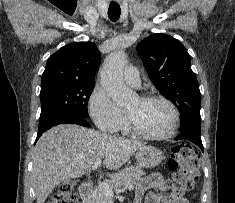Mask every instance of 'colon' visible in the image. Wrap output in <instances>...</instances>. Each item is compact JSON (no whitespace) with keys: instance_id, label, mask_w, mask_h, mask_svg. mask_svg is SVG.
Returning <instances> with one entry per match:
<instances>
[{"instance_id":"5ec220e1","label":"colon","mask_w":235,"mask_h":203,"mask_svg":"<svg viewBox=\"0 0 235 203\" xmlns=\"http://www.w3.org/2000/svg\"><path fill=\"white\" fill-rule=\"evenodd\" d=\"M172 171V192L183 195L194 187L199 175V157L192 146L178 144L172 148L169 159ZM76 194L71 185H61L46 203H75Z\"/></svg>"}]
</instances>
